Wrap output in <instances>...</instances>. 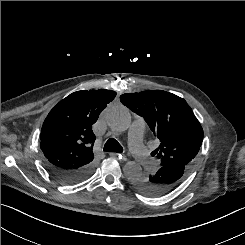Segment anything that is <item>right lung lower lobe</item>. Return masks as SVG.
Segmentation results:
<instances>
[{
	"mask_svg": "<svg viewBox=\"0 0 245 245\" xmlns=\"http://www.w3.org/2000/svg\"><path fill=\"white\" fill-rule=\"evenodd\" d=\"M46 169L65 184H75L88 178L94 169L93 163L77 170H65L45 164Z\"/></svg>",
	"mask_w": 245,
	"mask_h": 245,
	"instance_id": "1",
	"label": "right lung lower lobe"
}]
</instances>
